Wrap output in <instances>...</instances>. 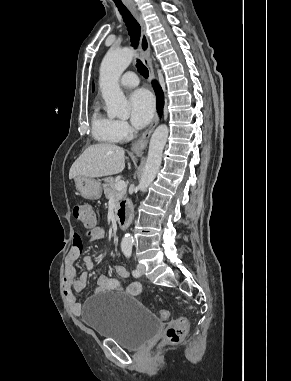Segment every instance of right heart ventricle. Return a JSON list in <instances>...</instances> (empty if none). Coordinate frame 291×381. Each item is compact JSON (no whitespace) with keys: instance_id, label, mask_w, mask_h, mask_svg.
Wrapping results in <instances>:
<instances>
[{"instance_id":"obj_1","label":"right heart ventricle","mask_w":291,"mask_h":381,"mask_svg":"<svg viewBox=\"0 0 291 381\" xmlns=\"http://www.w3.org/2000/svg\"><path fill=\"white\" fill-rule=\"evenodd\" d=\"M91 129L94 138L102 143L114 144L123 139L118 132L116 120L103 113L98 106L94 108L92 113Z\"/></svg>"}]
</instances>
